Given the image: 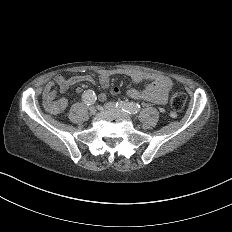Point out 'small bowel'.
I'll use <instances>...</instances> for the list:
<instances>
[{
    "label": "small bowel",
    "instance_id": "1",
    "mask_svg": "<svg viewBox=\"0 0 232 232\" xmlns=\"http://www.w3.org/2000/svg\"><path fill=\"white\" fill-rule=\"evenodd\" d=\"M117 74L127 75L134 83H144L146 85L144 90H137L134 88L127 89L126 95L130 98L164 104L167 101L168 91L174 86V82L169 77L159 73L147 74L135 69H102L98 71L99 82L103 88L99 96L100 101H105L108 98L117 96V93L110 89L111 78ZM85 83L95 84V80L86 77L67 78L63 74H56L53 80L47 82L45 85L44 93L46 95H53L57 93L58 90ZM76 90L80 93L82 88L78 87Z\"/></svg>",
    "mask_w": 232,
    "mask_h": 232
}]
</instances>
